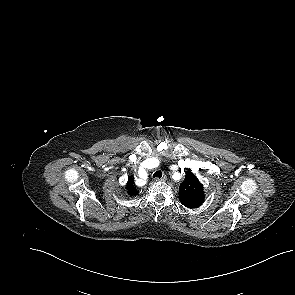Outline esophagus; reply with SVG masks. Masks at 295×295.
<instances>
[{
  "instance_id": "1",
  "label": "esophagus",
  "mask_w": 295,
  "mask_h": 295,
  "mask_svg": "<svg viewBox=\"0 0 295 295\" xmlns=\"http://www.w3.org/2000/svg\"><path fill=\"white\" fill-rule=\"evenodd\" d=\"M166 176H163L161 178H156V181H166Z\"/></svg>"
}]
</instances>
